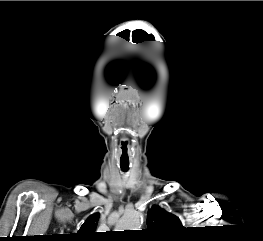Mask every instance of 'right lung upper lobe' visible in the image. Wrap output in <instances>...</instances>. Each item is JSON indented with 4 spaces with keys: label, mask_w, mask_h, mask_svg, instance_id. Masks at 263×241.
Here are the masks:
<instances>
[{
    "label": "right lung upper lobe",
    "mask_w": 263,
    "mask_h": 241,
    "mask_svg": "<svg viewBox=\"0 0 263 241\" xmlns=\"http://www.w3.org/2000/svg\"><path fill=\"white\" fill-rule=\"evenodd\" d=\"M99 216V213H94L87 218L80 230L75 234L76 241H97L99 239L98 233L95 232Z\"/></svg>",
    "instance_id": "right-lung-upper-lobe-1"
}]
</instances>
